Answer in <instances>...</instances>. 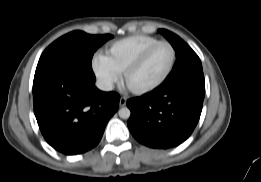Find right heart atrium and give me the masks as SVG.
Instances as JSON below:
<instances>
[{
	"instance_id": "right-heart-atrium-1",
	"label": "right heart atrium",
	"mask_w": 261,
	"mask_h": 182,
	"mask_svg": "<svg viewBox=\"0 0 261 182\" xmlns=\"http://www.w3.org/2000/svg\"><path fill=\"white\" fill-rule=\"evenodd\" d=\"M92 69L99 86L104 90L112 89L119 80L120 74L104 54H94L92 58Z\"/></svg>"
}]
</instances>
